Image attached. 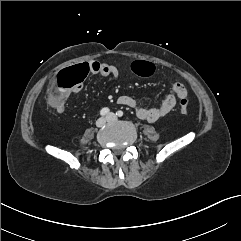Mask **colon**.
I'll use <instances>...</instances> for the list:
<instances>
[{"label": "colon", "instance_id": "colon-1", "mask_svg": "<svg viewBox=\"0 0 241 241\" xmlns=\"http://www.w3.org/2000/svg\"><path fill=\"white\" fill-rule=\"evenodd\" d=\"M132 70L134 73L140 76H149L153 74L154 67L147 62L136 61L132 64ZM91 74V67L87 61L80 60L74 65L68 68L60 70L50 80L47 100L49 104L62 103L65 98V94L68 91L73 90L77 85L81 84L83 79H86ZM179 108L181 114H187L188 100L187 93L184 90L179 92Z\"/></svg>", "mask_w": 241, "mask_h": 241}]
</instances>
